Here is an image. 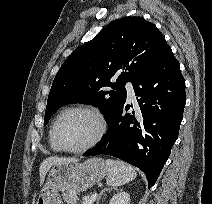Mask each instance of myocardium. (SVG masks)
Wrapping results in <instances>:
<instances>
[{
	"label": "myocardium",
	"instance_id": "1",
	"mask_svg": "<svg viewBox=\"0 0 212 204\" xmlns=\"http://www.w3.org/2000/svg\"><path fill=\"white\" fill-rule=\"evenodd\" d=\"M71 112H83L93 117L96 122L97 130L93 138L85 145L78 148H69L63 145L58 136V125L61 119L68 113ZM107 130L106 120L104 115L96 108L89 106H72L62 110L59 115L56 117L53 125H52V135L56 145L61 149V151H65L68 153H83L86 152L93 147H95L104 137Z\"/></svg>",
	"mask_w": 212,
	"mask_h": 204
}]
</instances>
